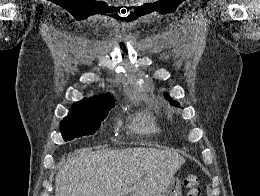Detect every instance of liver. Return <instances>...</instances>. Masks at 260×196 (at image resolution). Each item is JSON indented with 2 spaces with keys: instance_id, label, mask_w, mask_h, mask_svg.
I'll return each mask as SVG.
<instances>
[{
  "instance_id": "1",
  "label": "liver",
  "mask_w": 260,
  "mask_h": 196,
  "mask_svg": "<svg viewBox=\"0 0 260 196\" xmlns=\"http://www.w3.org/2000/svg\"><path fill=\"white\" fill-rule=\"evenodd\" d=\"M184 158L157 148L76 150L56 176V196H162Z\"/></svg>"
}]
</instances>
